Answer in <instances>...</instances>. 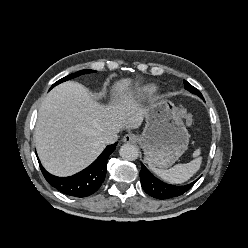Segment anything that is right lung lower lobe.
Listing matches in <instances>:
<instances>
[{
    "label": "right lung lower lobe",
    "instance_id": "98d812e1",
    "mask_svg": "<svg viewBox=\"0 0 248 248\" xmlns=\"http://www.w3.org/2000/svg\"><path fill=\"white\" fill-rule=\"evenodd\" d=\"M115 149L116 143L107 146L90 166L70 177H56L48 173L40 162L39 165L45 179L51 186L69 196L86 197L96 192L103 183L108 157Z\"/></svg>",
    "mask_w": 248,
    "mask_h": 248
}]
</instances>
